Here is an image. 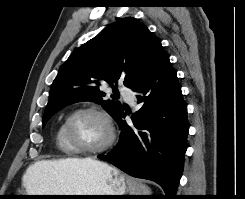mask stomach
Listing matches in <instances>:
<instances>
[{"label":"stomach","instance_id":"stomach-1","mask_svg":"<svg viewBox=\"0 0 245 199\" xmlns=\"http://www.w3.org/2000/svg\"><path fill=\"white\" fill-rule=\"evenodd\" d=\"M100 165L81 168L70 175L56 178L61 193L45 195H124L127 189V177L116 168L96 160ZM31 195V194H23ZM105 197V196H104ZM103 196L80 197H36L37 199H82L104 198ZM107 197V196H106ZM109 197V196H108ZM111 197V196H110Z\"/></svg>","mask_w":245,"mask_h":199}]
</instances>
